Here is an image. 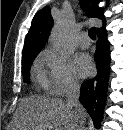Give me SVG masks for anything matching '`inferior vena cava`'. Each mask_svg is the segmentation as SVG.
Segmentation results:
<instances>
[{
	"label": "inferior vena cava",
	"instance_id": "1",
	"mask_svg": "<svg viewBox=\"0 0 123 130\" xmlns=\"http://www.w3.org/2000/svg\"><path fill=\"white\" fill-rule=\"evenodd\" d=\"M80 86L77 81L70 80L68 84V90L66 93L67 105L71 107L74 113V127L73 130H78V121L80 119L81 105L79 103Z\"/></svg>",
	"mask_w": 123,
	"mask_h": 130
}]
</instances>
